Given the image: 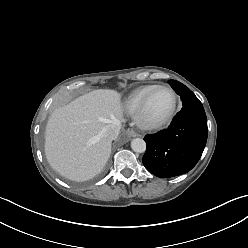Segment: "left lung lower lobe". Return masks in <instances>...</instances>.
I'll return each instance as SVG.
<instances>
[{"label": "left lung lower lobe", "mask_w": 248, "mask_h": 248, "mask_svg": "<svg viewBox=\"0 0 248 248\" xmlns=\"http://www.w3.org/2000/svg\"><path fill=\"white\" fill-rule=\"evenodd\" d=\"M208 136L207 118L201 102L184 105L171 125L154 135H146L145 168L160 178L190 171L200 159Z\"/></svg>", "instance_id": "1"}]
</instances>
